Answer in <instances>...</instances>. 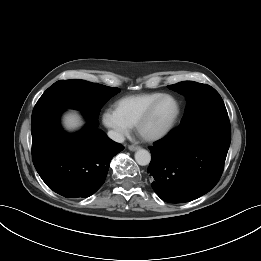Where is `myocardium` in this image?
<instances>
[{
	"mask_svg": "<svg viewBox=\"0 0 261 261\" xmlns=\"http://www.w3.org/2000/svg\"><path fill=\"white\" fill-rule=\"evenodd\" d=\"M171 99L175 103V112L170 118V120L166 123V125L161 128L160 130L153 132V133H146L144 128L146 124L149 122L151 117L153 116L157 106L160 104L161 101L164 99ZM180 115V104L178 100L171 94H162L157 99H155L149 107L145 110V112L141 115L138 119L135 129L140 138L145 141L153 142L164 138L166 135L170 133V131L174 128L178 118Z\"/></svg>",
	"mask_w": 261,
	"mask_h": 261,
	"instance_id": "obj_1",
	"label": "myocardium"
}]
</instances>
